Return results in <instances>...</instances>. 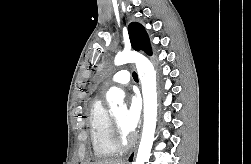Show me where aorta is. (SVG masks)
Listing matches in <instances>:
<instances>
[{
	"label": "aorta",
	"instance_id": "762f6f07",
	"mask_svg": "<svg viewBox=\"0 0 251 164\" xmlns=\"http://www.w3.org/2000/svg\"><path fill=\"white\" fill-rule=\"evenodd\" d=\"M135 63L142 85L144 102V123L136 161L133 164H144L149 161L157 121V91L156 72L152 63L144 55L134 51H123L115 56L114 64L120 66L126 63ZM124 92L112 87L106 94L111 107L123 102Z\"/></svg>",
	"mask_w": 251,
	"mask_h": 164
}]
</instances>
